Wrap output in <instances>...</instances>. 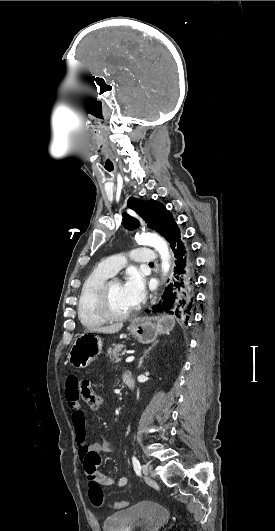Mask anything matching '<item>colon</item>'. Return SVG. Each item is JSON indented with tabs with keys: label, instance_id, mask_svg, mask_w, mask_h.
Instances as JSON below:
<instances>
[{
	"label": "colon",
	"instance_id": "1",
	"mask_svg": "<svg viewBox=\"0 0 275 531\" xmlns=\"http://www.w3.org/2000/svg\"><path fill=\"white\" fill-rule=\"evenodd\" d=\"M79 389L81 391L80 399L82 402H87L89 407L92 409H98L102 400L100 395L96 392V383L95 381H90L85 378V381H81L79 384ZM87 486H91V499L94 502V507L96 509H101L103 507L102 494L103 491L100 489L98 483H87ZM110 506L116 508L117 510H124L128 507V503L125 501H115L110 504Z\"/></svg>",
	"mask_w": 275,
	"mask_h": 531
}]
</instances>
